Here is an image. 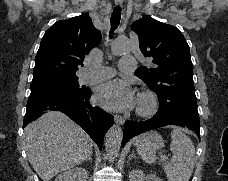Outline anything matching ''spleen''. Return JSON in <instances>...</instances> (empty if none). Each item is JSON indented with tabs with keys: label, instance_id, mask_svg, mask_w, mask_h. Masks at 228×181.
<instances>
[{
	"label": "spleen",
	"instance_id": "1",
	"mask_svg": "<svg viewBox=\"0 0 228 181\" xmlns=\"http://www.w3.org/2000/svg\"><path fill=\"white\" fill-rule=\"evenodd\" d=\"M138 153L146 163H155V153L146 149L142 143H138ZM170 151L173 155L170 163L163 169L168 181H189L195 165L194 145L178 127L171 131Z\"/></svg>",
	"mask_w": 228,
	"mask_h": 181
}]
</instances>
